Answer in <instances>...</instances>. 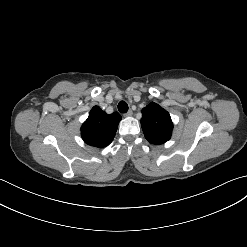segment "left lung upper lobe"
I'll use <instances>...</instances> for the list:
<instances>
[{
    "mask_svg": "<svg viewBox=\"0 0 247 247\" xmlns=\"http://www.w3.org/2000/svg\"><path fill=\"white\" fill-rule=\"evenodd\" d=\"M141 126L145 138L151 144H163L172 134L173 123L170 114L158 104L151 102L142 109Z\"/></svg>",
    "mask_w": 247,
    "mask_h": 247,
    "instance_id": "5c2ea615",
    "label": "left lung upper lobe"
}]
</instances>
